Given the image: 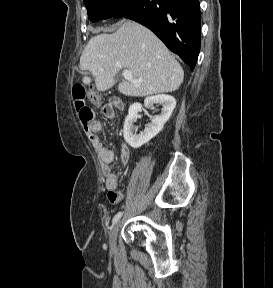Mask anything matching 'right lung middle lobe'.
Segmentation results:
<instances>
[{
    "mask_svg": "<svg viewBox=\"0 0 273 288\" xmlns=\"http://www.w3.org/2000/svg\"><path fill=\"white\" fill-rule=\"evenodd\" d=\"M137 0H84L88 18L92 22L125 15Z\"/></svg>",
    "mask_w": 273,
    "mask_h": 288,
    "instance_id": "right-lung-middle-lobe-1",
    "label": "right lung middle lobe"
}]
</instances>
